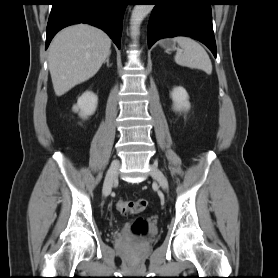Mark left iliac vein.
Returning a JSON list of instances; mask_svg holds the SVG:
<instances>
[{
    "label": "left iliac vein",
    "mask_w": 278,
    "mask_h": 278,
    "mask_svg": "<svg viewBox=\"0 0 278 278\" xmlns=\"http://www.w3.org/2000/svg\"><path fill=\"white\" fill-rule=\"evenodd\" d=\"M151 176L160 184V186L167 190L168 189V181L164 174L154 165L150 166Z\"/></svg>",
    "instance_id": "1"
}]
</instances>
